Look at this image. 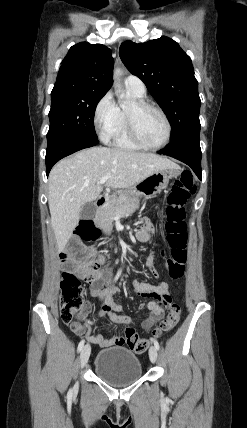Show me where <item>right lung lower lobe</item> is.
Listing matches in <instances>:
<instances>
[{
    "mask_svg": "<svg viewBox=\"0 0 247 428\" xmlns=\"http://www.w3.org/2000/svg\"><path fill=\"white\" fill-rule=\"evenodd\" d=\"M98 143V140L69 136L57 137L49 140L45 158L47 176L53 165L60 159L81 149L95 146Z\"/></svg>",
    "mask_w": 247,
    "mask_h": 428,
    "instance_id": "98d812e1",
    "label": "right lung lower lobe"
}]
</instances>
